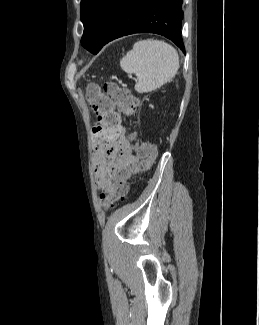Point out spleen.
<instances>
[{
	"label": "spleen",
	"mask_w": 259,
	"mask_h": 325,
	"mask_svg": "<svg viewBox=\"0 0 259 325\" xmlns=\"http://www.w3.org/2000/svg\"><path fill=\"white\" fill-rule=\"evenodd\" d=\"M121 68L137 76L135 90L146 93L170 81L179 69L176 49L161 40H140L120 60Z\"/></svg>",
	"instance_id": "obj_1"
}]
</instances>
